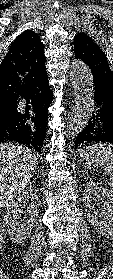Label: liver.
Wrapping results in <instances>:
<instances>
[{"label": "liver", "mask_w": 113, "mask_h": 279, "mask_svg": "<svg viewBox=\"0 0 113 279\" xmlns=\"http://www.w3.org/2000/svg\"><path fill=\"white\" fill-rule=\"evenodd\" d=\"M38 154L21 144H0V208L25 189L38 165Z\"/></svg>", "instance_id": "1"}]
</instances>
